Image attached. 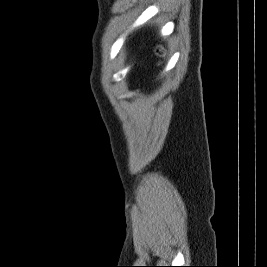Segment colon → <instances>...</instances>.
<instances>
[{"instance_id": "colon-1", "label": "colon", "mask_w": 267, "mask_h": 267, "mask_svg": "<svg viewBox=\"0 0 267 267\" xmlns=\"http://www.w3.org/2000/svg\"><path fill=\"white\" fill-rule=\"evenodd\" d=\"M162 53H163V50H162L161 48H157V49H156V54H157L158 56H161Z\"/></svg>"}]
</instances>
